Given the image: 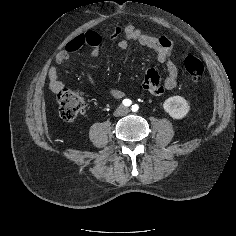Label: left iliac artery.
<instances>
[{"mask_svg":"<svg viewBox=\"0 0 236 236\" xmlns=\"http://www.w3.org/2000/svg\"><path fill=\"white\" fill-rule=\"evenodd\" d=\"M138 108H139V107H138V105H136V104H135V105H132V111H134V112H135V111H137V110H138Z\"/></svg>","mask_w":236,"mask_h":236,"instance_id":"44dca946","label":"left iliac artery"}]
</instances>
